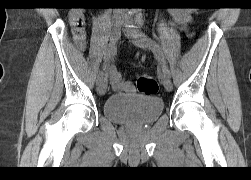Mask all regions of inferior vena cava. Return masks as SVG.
Wrapping results in <instances>:
<instances>
[{
    "label": "inferior vena cava",
    "mask_w": 251,
    "mask_h": 180,
    "mask_svg": "<svg viewBox=\"0 0 251 180\" xmlns=\"http://www.w3.org/2000/svg\"><path fill=\"white\" fill-rule=\"evenodd\" d=\"M117 10H119V9H117ZM115 13H116V14H115V18H116V19H120V18H121L120 15L123 16V15H122V12H120V11H115Z\"/></svg>",
    "instance_id": "1"
}]
</instances>
